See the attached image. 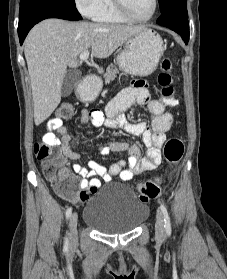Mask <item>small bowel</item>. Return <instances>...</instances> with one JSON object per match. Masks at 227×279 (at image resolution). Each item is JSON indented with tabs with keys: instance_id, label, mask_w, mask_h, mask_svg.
I'll use <instances>...</instances> for the list:
<instances>
[{
	"instance_id": "1",
	"label": "small bowel",
	"mask_w": 227,
	"mask_h": 279,
	"mask_svg": "<svg viewBox=\"0 0 227 279\" xmlns=\"http://www.w3.org/2000/svg\"><path fill=\"white\" fill-rule=\"evenodd\" d=\"M135 104L147 106L153 116L151 125L146 121L132 122L122 114ZM163 111L164 102L158 99H151L148 85L143 80L134 81L131 85L120 91L107 104L105 114L97 109H83L80 116L82 123H92L95 126L104 124L111 128L119 127L127 133L141 136L142 142L147 149V157H140L137 148H130L126 142L111 141L101 145L93 155L86 157V166L79 163L83 159L82 155L71 149V137L62 125V121L50 120L48 123L49 133L45 138L49 134H53L54 131H57L61 137L57 140L56 146L60 148L65 157L74 161L70 167H64L60 170V178L66 179L74 175L80 177V185L84 189L83 193L86 196L87 191L95 190L92 188L93 184L97 188L100 186L101 180L110 182L115 176H119L122 180H130L145 171L155 170L161 163L160 148L164 144L166 132L170 129L173 122V116ZM128 149L129 156L126 160H119L109 167L98 164L94 159L96 154L107 156L113 151Z\"/></svg>"
}]
</instances>
